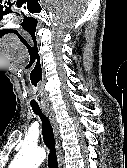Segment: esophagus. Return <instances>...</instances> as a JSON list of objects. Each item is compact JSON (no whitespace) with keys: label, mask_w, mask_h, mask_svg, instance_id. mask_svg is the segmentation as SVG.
I'll return each instance as SVG.
<instances>
[{"label":"esophagus","mask_w":127,"mask_h":168,"mask_svg":"<svg viewBox=\"0 0 127 168\" xmlns=\"http://www.w3.org/2000/svg\"><path fill=\"white\" fill-rule=\"evenodd\" d=\"M44 112L45 114L48 116L53 129H54V134H55V138H56V148H57V158H58V163L60 168L62 167L63 164V157H62V149H61V142H60V129H59V124L57 123L55 114L52 110L51 107H44Z\"/></svg>","instance_id":"34e87169"}]
</instances>
